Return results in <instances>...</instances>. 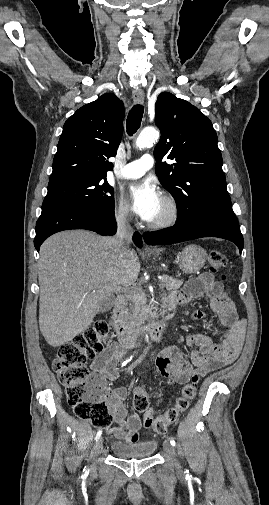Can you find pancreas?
<instances>
[{
  "mask_svg": "<svg viewBox=\"0 0 269 505\" xmlns=\"http://www.w3.org/2000/svg\"><path fill=\"white\" fill-rule=\"evenodd\" d=\"M183 284L182 280L164 275L161 279L162 288L167 291L177 290ZM129 307L123 312V319L127 324H140L146 318V297L142 290H132L128 294Z\"/></svg>",
  "mask_w": 269,
  "mask_h": 505,
  "instance_id": "1",
  "label": "pancreas"
}]
</instances>
